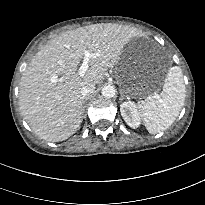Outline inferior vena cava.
<instances>
[{
	"label": "inferior vena cava",
	"instance_id": "inferior-vena-cava-1",
	"mask_svg": "<svg viewBox=\"0 0 205 205\" xmlns=\"http://www.w3.org/2000/svg\"><path fill=\"white\" fill-rule=\"evenodd\" d=\"M95 90V84H86L81 88V95L86 97L87 95L93 93Z\"/></svg>",
	"mask_w": 205,
	"mask_h": 205
}]
</instances>
